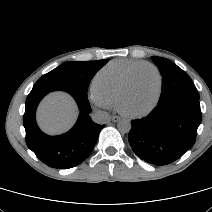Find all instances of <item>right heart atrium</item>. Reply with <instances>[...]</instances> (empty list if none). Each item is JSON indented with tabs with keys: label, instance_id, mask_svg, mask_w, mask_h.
I'll use <instances>...</instances> for the list:
<instances>
[{
	"label": "right heart atrium",
	"instance_id": "d8ad5b80",
	"mask_svg": "<svg viewBox=\"0 0 212 212\" xmlns=\"http://www.w3.org/2000/svg\"><path fill=\"white\" fill-rule=\"evenodd\" d=\"M89 102L100 110H108L112 107L111 102L102 92H100L94 85L91 87L88 95Z\"/></svg>",
	"mask_w": 212,
	"mask_h": 212
}]
</instances>
